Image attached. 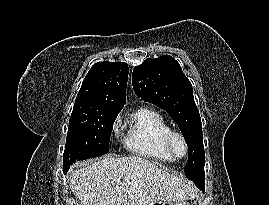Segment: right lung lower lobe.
<instances>
[{
  "mask_svg": "<svg viewBox=\"0 0 269 205\" xmlns=\"http://www.w3.org/2000/svg\"><path fill=\"white\" fill-rule=\"evenodd\" d=\"M63 171H64V173H66V172H67L65 168H63Z\"/></svg>",
  "mask_w": 269,
  "mask_h": 205,
  "instance_id": "98d812e1",
  "label": "right lung lower lobe"
}]
</instances>
